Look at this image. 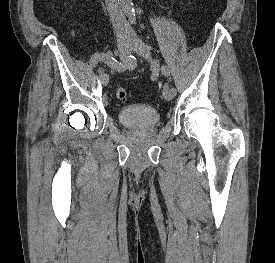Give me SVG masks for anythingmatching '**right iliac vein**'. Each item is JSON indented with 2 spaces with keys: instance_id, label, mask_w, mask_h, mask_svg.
<instances>
[{
  "instance_id": "1",
  "label": "right iliac vein",
  "mask_w": 275,
  "mask_h": 263,
  "mask_svg": "<svg viewBox=\"0 0 275 263\" xmlns=\"http://www.w3.org/2000/svg\"><path fill=\"white\" fill-rule=\"evenodd\" d=\"M131 40L127 38H119L117 40V47H118V55L122 61H124L128 54V49L130 47ZM100 81L103 85H107L109 83V75L108 74H101L99 76Z\"/></svg>"
}]
</instances>
